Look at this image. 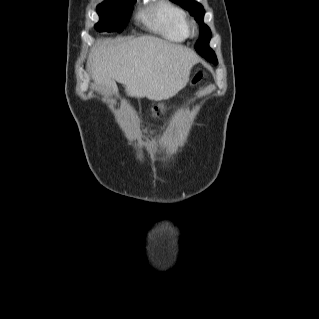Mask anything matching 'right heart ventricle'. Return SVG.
<instances>
[{
  "label": "right heart ventricle",
  "mask_w": 319,
  "mask_h": 319,
  "mask_svg": "<svg viewBox=\"0 0 319 319\" xmlns=\"http://www.w3.org/2000/svg\"><path fill=\"white\" fill-rule=\"evenodd\" d=\"M148 26L162 38L181 42L188 38L185 12L168 0H159L145 14Z\"/></svg>",
  "instance_id": "obj_1"
}]
</instances>
